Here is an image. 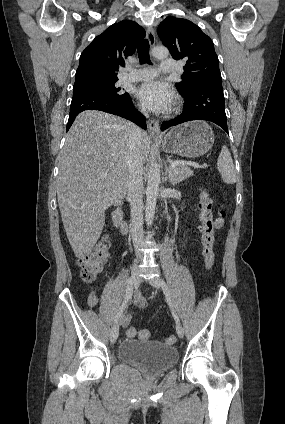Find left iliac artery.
I'll return each instance as SVG.
<instances>
[{"label": "left iliac artery", "instance_id": "1", "mask_svg": "<svg viewBox=\"0 0 285 424\" xmlns=\"http://www.w3.org/2000/svg\"><path fill=\"white\" fill-rule=\"evenodd\" d=\"M161 283H162L163 292H164V294L166 296V300H167L168 304L171 307L172 315H173L176 323H180L179 317H178L177 313L175 312V310L173 309V306H172V301H171V297H170V291H169V289H168V287H167V285H166V283H165L164 280H161Z\"/></svg>", "mask_w": 285, "mask_h": 424}]
</instances>
